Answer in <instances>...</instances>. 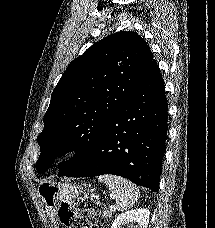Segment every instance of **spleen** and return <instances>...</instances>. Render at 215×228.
<instances>
[{"label":"spleen","mask_w":215,"mask_h":228,"mask_svg":"<svg viewBox=\"0 0 215 228\" xmlns=\"http://www.w3.org/2000/svg\"><path fill=\"white\" fill-rule=\"evenodd\" d=\"M99 182L106 184L108 190L111 192V196L116 200V210L123 212V210H129L134 206L139 198V190L135 184L120 178V176H111V174H105V176H97Z\"/></svg>","instance_id":"obj_1"}]
</instances>
